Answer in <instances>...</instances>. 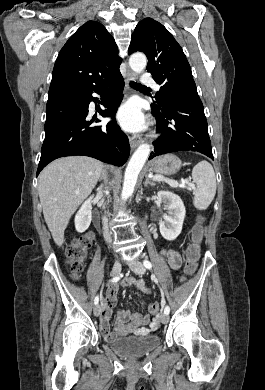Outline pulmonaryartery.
Instances as JSON below:
<instances>
[{
    "mask_svg": "<svg viewBox=\"0 0 265 390\" xmlns=\"http://www.w3.org/2000/svg\"><path fill=\"white\" fill-rule=\"evenodd\" d=\"M141 82L146 86H150L153 87L155 90H159V85L149 75H143Z\"/></svg>",
    "mask_w": 265,
    "mask_h": 390,
    "instance_id": "pulmonary-artery-1",
    "label": "pulmonary artery"
}]
</instances>
